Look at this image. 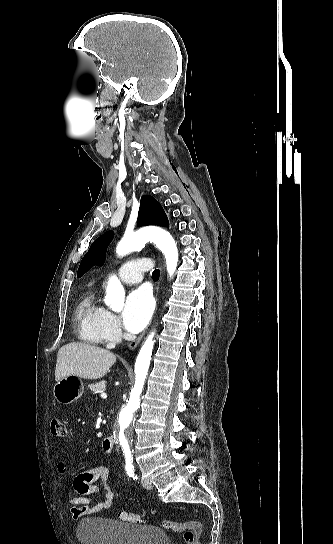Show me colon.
<instances>
[{"label":"colon","mask_w":333,"mask_h":544,"mask_svg":"<svg viewBox=\"0 0 333 544\" xmlns=\"http://www.w3.org/2000/svg\"><path fill=\"white\" fill-rule=\"evenodd\" d=\"M51 433L56 437H66L67 428L65 423L59 418H53L50 423ZM120 517L122 520L131 523H143L144 518L141 514L131 513L128 511H121ZM163 528L182 533L186 544H201L200 538L202 533V526L197 521L188 522H173L170 520H164L162 522Z\"/></svg>","instance_id":"5ec220e1"}]
</instances>
